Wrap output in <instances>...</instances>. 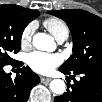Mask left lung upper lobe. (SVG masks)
<instances>
[{"label": "left lung upper lobe", "mask_w": 102, "mask_h": 102, "mask_svg": "<svg viewBox=\"0 0 102 102\" xmlns=\"http://www.w3.org/2000/svg\"><path fill=\"white\" fill-rule=\"evenodd\" d=\"M49 13L67 23L73 38V54L59 69L67 72L102 69V19L80 9Z\"/></svg>", "instance_id": "obj_1"}]
</instances>
